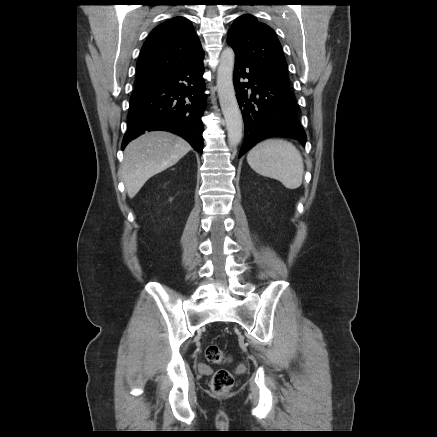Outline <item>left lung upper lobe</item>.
I'll return each mask as SVG.
<instances>
[{"instance_id":"obj_1","label":"left lung upper lobe","mask_w":437,"mask_h":437,"mask_svg":"<svg viewBox=\"0 0 437 437\" xmlns=\"http://www.w3.org/2000/svg\"><path fill=\"white\" fill-rule=\"evenodd\" d=\"M227 42L234 48L236 56L247 60L273 81L289 88L282 47L268 25L252 15H242L228 31Z\"/></svg>"}]
</instances>
